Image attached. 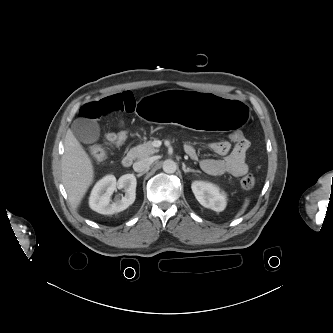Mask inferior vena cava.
<instances>
[{"label": "inferior vena cava", "mask_w": 333, "mask_h": 333, "mask_svg": "<svg viewBox=\"0 0 333 333\" xmlns=\"http://www.w3.org/2000/svg\"><path fill=\"white\" fill-rule=\"evenodd\" d=\"M151 160L149 158L139 160L133 164V169L136 172H142L151 165Z\"/></svg>", "instance_id": "1"}]
</instances>
